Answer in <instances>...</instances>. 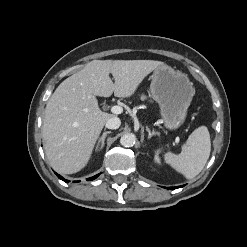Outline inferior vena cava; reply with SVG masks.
<instances>
[{"label":"inferior vena cava","instance_id":"602c4592","mask_svg":"<svg viewBox=\"0 0 247 247\" xmlns=\"http://www.w3.org/2000/svg\"><path fill=\"white\" fill-rule=\"evenodd\" d=\"M121 125V121L118 117H111L106 122L105 126L108 129H118Z\"/></svg>","mask_w":247,"mask_h":247}]
</instances>
